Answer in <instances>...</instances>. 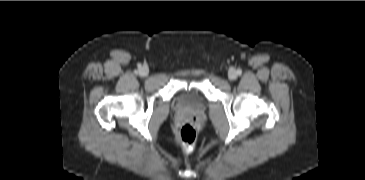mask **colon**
<instances>
[{"instance_id":"obj_1","label":"colon","mask_w":365,"mask_h":180,"mask_svg":"<svg viewBox=\"0 0 365 180\" xmlns=\"http://www.w3.org/2000/svg\"><path fill=\"white\" fill-rule=\"evenodd\" d=\"M180 144L187 150L193 149L196 143L197 134L191 123H185L181 126L177 135Z\"/></svg>"}]
</instances>
